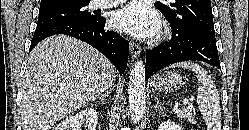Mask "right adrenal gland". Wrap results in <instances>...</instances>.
Segmentation results:
<instances>
[{
  "label": "right adrenal gland",
  "mask_w": 249,
  "mask_h": 130,
  "mask_svg": "<svg viewBox=\"0 0 249 130\" xmlns=\"http://www.w3.org/2000/svg\"><path fill=\"white\" fill-rule=\"evenodd\" d=\"M110 94L109 91H105L104 94H102L100 97H99V100H101L102 104L104 105V101H105V98L108 97ZM98 99V98H97Z\"/></svg>",
  "instance_id": "right-adrenal-gland-1"
}]
</instances>
